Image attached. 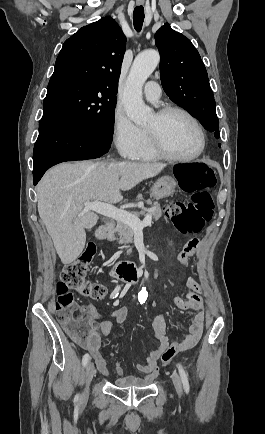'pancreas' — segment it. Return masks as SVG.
I'll return each instance as SVG.
<instances>
[{
  "mask_svg": "<svg viewBox=\"0 0 265 434\" xmlns=\"http://www.w3.org/2000/svg\"><path fill=\"white\" fill-rule=\"evenodd\" d=\"M134 216L137 218L138 216H152L153 220H159L162 218V210L158 202H151V208H146V212H134ZM116 224L115 228H108L107 240L109 242L118 240V244H132L134 230L124 222H116Z\"/></svg>",
  "mask_w": 265,
  "mask_h": 434,
  "instance_id": "pancreas-1",
  "label": "pancreas"
}]
</instances>
